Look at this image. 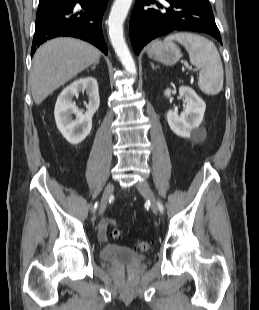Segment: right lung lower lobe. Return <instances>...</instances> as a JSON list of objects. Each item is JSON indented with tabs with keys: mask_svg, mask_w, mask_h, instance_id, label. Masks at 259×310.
Here are the masks:
<instances>
[{
	"mask_svg": "<svg viewBox=\"0 0 259 310\" xmlns=\"http://www.w3.org/2000/svg\"><path fill=\"white\" fill-rule=\"evenodd\" d=\"M105 9L106 0H56L39 5L31 56L41 44L58 36L81 38L107 55L102 36V14Z\"/></svg>",
	"mask_w": 259,
	"mask_h": 310,
	"instance_id": "obj_1",
	"label": "right lung lower lobe"
}]
</instances>
